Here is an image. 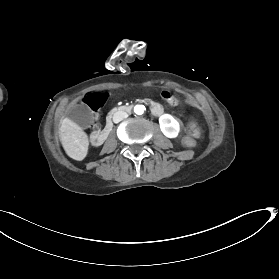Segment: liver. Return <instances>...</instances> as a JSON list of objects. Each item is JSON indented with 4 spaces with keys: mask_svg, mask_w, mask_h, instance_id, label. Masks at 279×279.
<instances>
[{
    "mask_svg": "<svg viewBox=\"0 0 279 279\" xmlns=\"http://www.w3.org/2000/svg\"><path fill=\"white\" fill-rule=\"evenodd\" d=\"M59 138L68 157L83 161L88 154L89 139L87 133L75 121L65 117L59 128Z\"/></svg>",
    "mask_w": 279,
    "mask_h": 279,
    "instance_id": "obj_1",
    "label": "liver"
}]
</instances>
